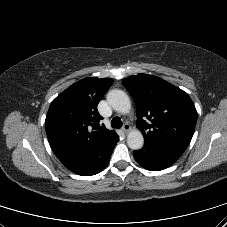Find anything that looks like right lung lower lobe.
<instances>
[{"mask_svg": "<svg viewBox=\"0 0 227 227\" xmlns=\"http://www.w3.org/2000/svg\"><path fill=\"white\" fill-rule=\"evenodd\" d=\"M119 141L118 135L95 146L80 157L62 160L61 162L72 172L90 176L101 172L109 163L112 151Z\"/></svg>", "mask_w": 227, "mask_h": 227, "instance_id": "obj_1", "label": "right lung lower lobe"}]
</instances>
